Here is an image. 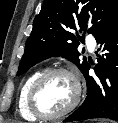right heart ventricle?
<instances>
[{"label": "right heart ventricle", "mask_w": 118, "mask_h": 123, "mask_svg": "<svg viewBox=\"0 0 118 123\" xmlns=\"http://www.w3.org/2000/svg\"><path fill=\"white\" fill-rule=\"evenodd\" d=\"M42 73V71H36L32 74H30L23 84L20 87L18 100H17V106L19 114L22 118L29 120V121H35L38 120V117H36L28 107V93L29 90L33 84V82L37 79V77Z\"/></svg>", "instance_id": "right-heart-ventricle-1"}]
</instances>
